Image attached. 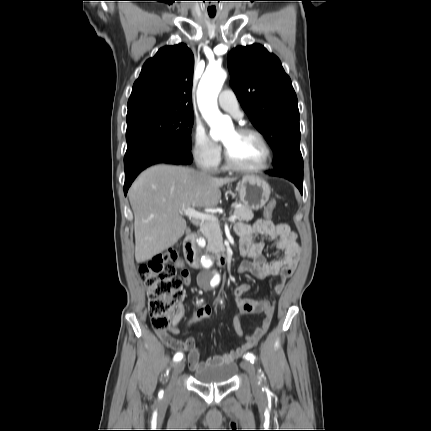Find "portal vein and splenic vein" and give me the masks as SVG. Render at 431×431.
<instances>
[{
  "instance_id": "obj_1",
  "label": "portal vein and splenic vein",
  "mask_w": 431,
  "mask_h": 431,
  "mask_svg": "<svg viewBox=\"0 0 431 431\" xmlns=\"http://www.w3.org/2000/svg\"><path fill=\"white\" fill-rule=\"evenodd\" d=\"M182 214L190 217V218H194L197 220H202V221H213V222H217V218L213 215H209V214H205V213H201L197 210H195L194 208H187L181 211ZM236 220V216L232 215L229 217V221L230 222H234Z\"/></svg>"
}]
</instances>
